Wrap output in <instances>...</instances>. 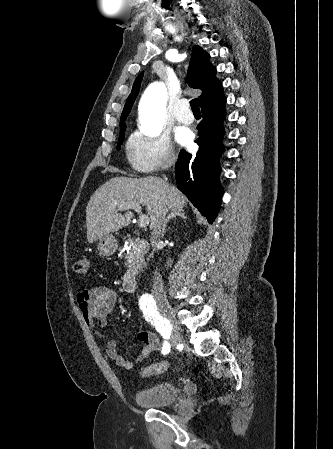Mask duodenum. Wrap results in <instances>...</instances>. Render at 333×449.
<instances>
[{"mask_svg":"<svg viewBox=\"0 0 333 449\" xmlns=\"http://www.w3.org/2000/svg\"><path fill=\"white\" fill-rule=\"evenodd\" d=\"M132 244L141 252H145L148 248V242L145 239H133ZM140 272V267L134 265L127 270L123 277L122 287L126 292H133L137 286V278Z\"/></svg>","mask_w":333,"mask_h":449,"instance_id":"410a0bca","label":"duodenum"}]
</instances>
